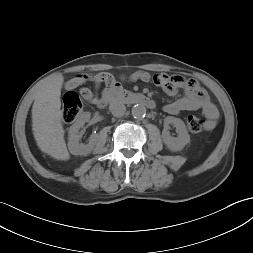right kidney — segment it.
I'll list each match as a JSON object with an SVG mask.
<instances>
[{
  "label": "right kidney",
  "instance_id": "right-kidney-1",
  "mask_svg": "<svg viewBox=\"0 0 253 253\" xmlns=\"http://www.w3.org/2000/svg\"><path fill=\"white\" fill-rule=\"evenodd\" d=\"M89 119L90 114L84 113L69 128L68 148L70 153L73 155H89L98 142L99 136L97 134H92L90 136L88 144L85 145L79 143V140L81 138V134L79 131L85 125V122H87Z\"/></svg>",
  "mask_w": 253,
  "mask_h": 253
}]
</instances>
